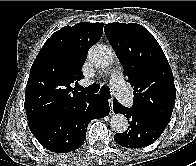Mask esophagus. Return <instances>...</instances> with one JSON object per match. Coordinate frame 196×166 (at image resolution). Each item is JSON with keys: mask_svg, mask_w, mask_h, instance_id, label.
Returning <instances> with one entry per match:
<instances>
[{"mask_svg": "<svg viewBox=\"0 0 196 166\" xmlns=\"http://www.w3.org/2000/svg\"><path fill=\"white\" fill-rule=\"evenodd\" d=\"M109 104H110V112H111V114H113L114 111H113V100H112V98L109 99Z\"/></svg>", "mask_w": 196, "mask_h": 166, "instance_id": "esophagus-1", "label": "esophagus"}]
</instances>
